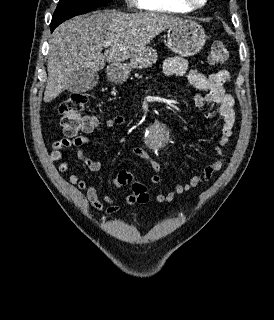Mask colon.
Returning a JSON list of instances; mask_svg holds the SVG:
<instances>
[{
  "label": "colon",
  "mask_w": 274,
  "mask_h": 320,
  "mask_svg": "<svg viewBox=\"0 0 274 320\" xmlns=\"http://www.w3.org/2000/svg\"><path fill=\"white\" fill-rule=\"evenodd\" d=\"M229 59L226 48L221 43H214L209 50V61L214 65H223ZM91 94L88 92H74L66 100L62 101L57 108L60 117V126L63 135L83 134L86 130L87 120H99L92 114L85 113L87 103ZM117 182L119 186H126L127 182H135V175H128V169H117ZM131 196L140 202H146L149 198L148 192L142 183L135 182Z\"/></svg>",
  "instance_id": "colon-1"
}]
</instances>
